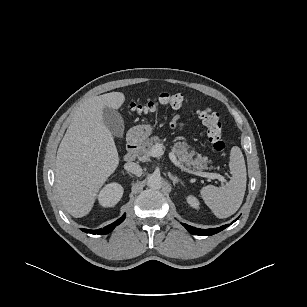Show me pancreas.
<instances>
[{
  "instance_id": "1",
  "label": "pancreas",
  "mask_w": 307,
  "mask_h": 307,
  "mask_svg": "<svg viewBox=\"0 0 307 307\" xmlns=\"http://www.w3.org/2000/svg\"><path fill=\"white\" fill-rule=\"evenodd\" d=\"M160 142L161 139L158 136L148 138L139 147L137 153L138 159L142 162L150 160V152L153 146ZM172 152L178 157L180 162L188 167L193 166V168L197 170L207 169V163L209 162L208 158L202 157L200 154H197V157L193 158L195 152H189V145L186 142H176L172 147Z\"/></svg>"
}]
</instances>
